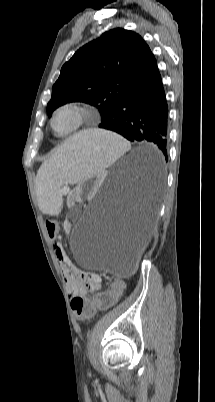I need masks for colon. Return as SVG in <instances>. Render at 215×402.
Returning <instances> with one entry per match:
<instances>
[{"instance_id":"5ec220e1","label":"colon","mask_w":215,"mask_h":402,"mask_svg":"<svg viewBox=\"0 0 215 402\" xmlns=\"http://www.w3.org/2000/svg\"><path fill=\"white\" fill-rule=\"evenodd\" d=\"M46 230L50 237V241L55 243L59 236V226L54 220H48L46 222ZM83 278H91L93 273L77 271ZM125 282L122 280H116L112 283L111 288L107 291L98 292L93 295V300L89 301L85 296H76L72 299L71 305L79 319H86L91 317L95 309L107 310L112 307L118 298H124L125 296Z\"/></svg>"}]
</instances>
